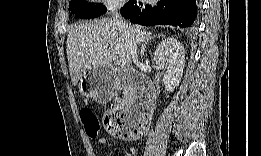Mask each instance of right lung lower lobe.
<instances>
[{
    "mask_svg": "<svg viewBox=\"0 0 261 156\" xmlns=\"http://www.w3.org/2000/svg\"><path fill=\"white\" fill-rule=\"evenodd\" d=\"M198 2L195 0H159L148 5L129 1L121 8V14L131 22L145 25H172L190 27L197 17Z\"/></svg>",
    "mask_w": 261,
    "mask_h": 156,
    "instance_id": "obj_1",
    "label": "right lung lower lobe"
}]
</instances>
